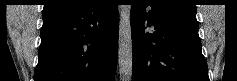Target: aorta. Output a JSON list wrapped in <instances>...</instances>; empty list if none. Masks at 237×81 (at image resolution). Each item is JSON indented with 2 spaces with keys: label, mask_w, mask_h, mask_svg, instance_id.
<instances>
[{
  "label": "aorta",
  "mask_w": 237,
  "mask_h": 81,
  "mask_svg": "<svg viewBox=\"0 0 237 81\" xmlns=\"http://www.w3.org/2000/svg\"><path fill=\"white\" fill-rule=\"evenodd\" d=\"M130 5L119 7L118 64L121 81H130L132 76V36L130 24Z\"/></svg>",
  "instance_id": "762f6f07"
}]
</instances>
